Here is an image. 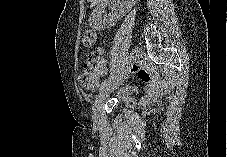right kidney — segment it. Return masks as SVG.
<instances>
[{"mask_svg": "<svg viewBox=\"0 0 227 157\" xmlns=\"http://www.w3.org/2000/svg\"><path fill=\"white\" fill-rule=\"evenodd\" d=\"M102 13H105V10L103 9L102 6H97L94 10V16L98 19L99 21V25H106L107 23H109V25L114 24L115 21H117L120 16H122V13L119 15L117 14H110L108 17L105 14L102 18Z\"/></svg>", "mask_w": 227, "mask_h": 157, "instance_id": "ca27d5eb", "label": "right kidney"}]
</instances>
